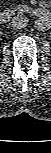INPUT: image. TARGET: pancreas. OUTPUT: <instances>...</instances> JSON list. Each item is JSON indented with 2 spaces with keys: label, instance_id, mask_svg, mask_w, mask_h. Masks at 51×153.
<instances>
[{
  "label": "pancreas",
  "instance_id": "obj_1",
  "mask_svg": "<svg viewBox=\"0 0 51 153\" xmlns=\"http://www.w3.org/2000/svg\"><path fill=\"white\" fill-rule=\"evenodd\" d=\"M14 10L17 11L18 13H23V12H28L30 10V7L27 5H18L14 7Z\"/></svg>",
  "mask_w": 51,
  "mask_h": 153
}]
</instances>
